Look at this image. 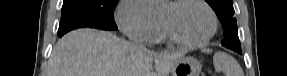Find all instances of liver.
I'll return each instance as SVG.
<instances>
[{"mask_svg": "<svg viewBox=\"0 0 287 76\" xmlns=\"http://www.w3.org/2000/svg\"><path fill=\"white\" fill-rule=\"evenodd\" d=\"M184 53L138 51L111 32L82 28L59 39L47 76H168Z\"/></svg>", "mask_w": 287, "mask_h": 76, "instance_id": "6515ba94", "label": "liver"}]
</instances>
